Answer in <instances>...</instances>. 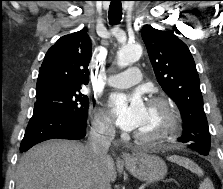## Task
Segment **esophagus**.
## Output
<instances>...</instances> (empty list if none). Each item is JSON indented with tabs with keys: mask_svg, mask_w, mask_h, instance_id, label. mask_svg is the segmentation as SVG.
I'll return each instance as SVG.
<instances>
[{
	"mask_svg": "<svg viewBox=\"0 0 223 189\" xmlns=\"http://www.w3.org/2000/svg\"><path fill=\"white\" fill-rule=\"evenodd\" d=\"M121 158H122V160H123L124 162H128V161H130V159H131L130 155H129L128 153H125V152H123V153L121 154Z\"/></svg>",
	"mask_w": 223,
	"mask_h": 189,
	"instance_id": "1",
	"label": "esophagus"
}]
</instances>
